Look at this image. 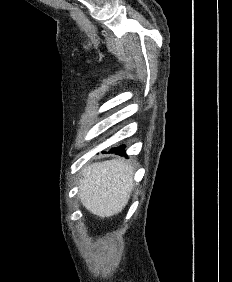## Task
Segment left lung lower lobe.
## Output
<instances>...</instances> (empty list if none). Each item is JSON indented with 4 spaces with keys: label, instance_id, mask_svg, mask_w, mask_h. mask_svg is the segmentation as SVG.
Here are the masks:
<instances>
[{
    "label": "left lung lower lobe",
    "instance_id": "1",
    "mask_svg": "<svg viewBox=\"0 0 232 282\" xmlns=\"http://www.w3.org/2000/svg\"><path fill=\"white\" fill-rule=\"evenodd\" d=\"M111 152H114V153H116L117 155H124V156H127L126 153H125V150H124V146H123V145H121V146H119V147H117V148L112 149Z\"/></svg>",
    "mask_w": 232,
    "mask_h": 282
}]
</instances>
